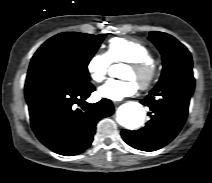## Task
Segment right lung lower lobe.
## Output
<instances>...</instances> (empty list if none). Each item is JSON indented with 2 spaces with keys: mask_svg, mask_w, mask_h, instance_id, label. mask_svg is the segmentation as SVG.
<instances>
[{
  "mask_svg": "<svg viewBox=\"0 0 212 183\" xmlns=\"http://www.w3.org/2000/svg\"><path fill=\"white\" fill-rule=\"evenodd\" d=\"M94 90L90 82L26 80L25 97L37 138L52 151L65 156L87 149L97 122L114 113L109 99L95 104L85 101Z\"/></svg>",
  "mask_w": 212,
  "mask_h": 183,
  "instance_id": "right-lung-lower-lobe-1",
  "label": "right lung lower lobe"
}]
</instances>
